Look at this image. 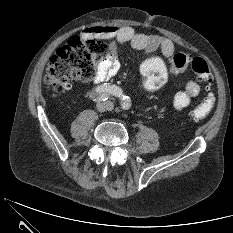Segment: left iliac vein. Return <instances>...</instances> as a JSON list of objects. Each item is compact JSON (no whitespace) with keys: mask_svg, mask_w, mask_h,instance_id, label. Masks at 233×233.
Wrapping results in <instances>:
<instances>
[{"mask_svg":"<svg viewBox=\"0 0 233 233\" xmlns=\"http://www.w3.org/2000/svg\"><path fill=\"white\" fill-rule=\"evenodd\" d=\"M108 106H109V109L108 110H112L113 109V104L108 102Z\"/></svg>","mask_w":233,"mask_h":233,"instance_id":"1","label":"left iliac vein"}]
</instances>
